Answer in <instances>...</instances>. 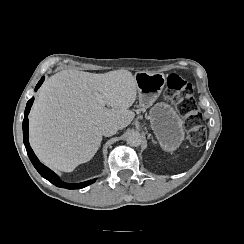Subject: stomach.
<instances>
[{
    "instance_id": "obj_1",
    "label": "stomach",
    "mask_w": 244,
    "mask_h": 244,
    "mask_svg": "<svg viewBox=\"0 0 244 244\" xmlns=\"http://www.w3.org/2000/svg\"><path fill=\"white\" fill-rule=\"evenodd\" d=\"M135 79L140 106L151 107L148 120L161 150L173 154L185 140V125L174 106L164 101L154 104L165 86V75L160 72H138Z\"/></svg>"
}]
</instances>
